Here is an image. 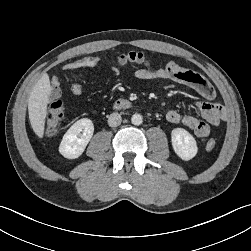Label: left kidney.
<instances>
[{
    "label": "left kidney",
    "instance_id": "1",
    "mask_svg": "<svg viewBox=\"0 0 251 251\" xmlns=\"http://www.w3.org/2000/svg\"><path fill=\"white\" fill-rule=\"evenodd\" d=\"M171 142L175 153L184 161L191 160L198 152L195 138L183 128L172 130Z\"/></svg>",
    "mask_w": 251,
    "mask_h": 251
}]
</instances>
